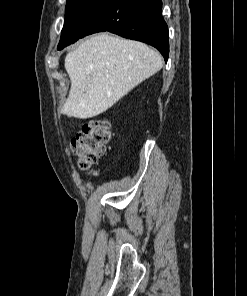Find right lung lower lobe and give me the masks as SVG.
<instances>
[{
  "label": "right lung lower lobe",
  "mask_w": 247,
  "mask_h": 296,
  "mask_svg": "<svg viewBox=\"0 0 247 296\" xmlns=\"http://www.w3.org/2000/svg\"><path fill=\"white\" fill-rule=\"evenodd\" d=\"M103 31L145 42L168 59L169 33L161 0H108L88 21L84 36Z\"/></svg>",
  "instance_id": "1"
}]
</instances>
